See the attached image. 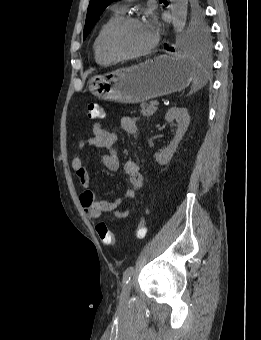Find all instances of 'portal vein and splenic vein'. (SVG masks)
<instances>
[{
    "mask_svg": "<svg viewBox=\"0 0 261 340\" xmlns=\"http://www.w3.org/2000/svg\"><path fill=\"white\" fill-rule=\"evenodd\" d=\"M159 104H160L159 101H155L154 103L155 106H159Z\"/></svg>",
    "mask_w": 261,
    "mask_h": 340,
    "instance_id": "portal-vein-and-splenic-vein-1",
    "label": "portal vein and splenic vein"
}]
</instances>
